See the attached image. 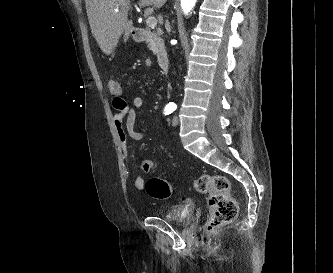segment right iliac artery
I'll list each match as a JSON object with an SVG mask.
<instances>
[{
    "mask_svg": "<svg viewBox=\"0 0 333 273\" xmlns=\"http://www.w3.org/2000/svg\"><path fill=\"white\" fill-rule=\"evenodd\" d=\"M175 110V108L173 106L167 105L164 108L163 114L164 115H169L171 114L173 111Z\"/></svg>",
    "mask_w": 333,
    "mask_h": 273,
    "instance_id": "obj_1",
    "label": "right iliac artery"
}]
</instances>
